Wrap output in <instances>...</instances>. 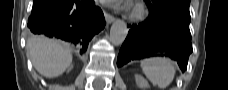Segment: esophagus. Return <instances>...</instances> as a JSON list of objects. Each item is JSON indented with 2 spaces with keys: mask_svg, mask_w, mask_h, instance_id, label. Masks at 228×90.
<instances>
[{
  "mask_svg": "<svg viewBox=\"0 0 228 90\" xmlns=\"http://www.w3.org/2000/svg\"><path fill=\"white\" fill-rule=\"evenodd\" d=\"M104 16L107 24H111L115 20V17L107 12H104Z\"/></svg>",
  "mask_w": 228,
  "mask_h": 90,
  "instance_id": "esophagus-1",
  "label": "esophagus"
}]
</instances>
